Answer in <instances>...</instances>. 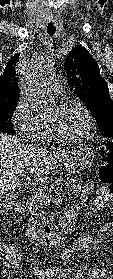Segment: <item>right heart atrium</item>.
<instances>
[{"instance_id": "obj_1", "label": "right heart atrium", "mask_w": 113, "mask_h": 279, "mask_svg": "<svg viewBox=\"0 0 113 279\" xmlns=\"http://www.w3.org/2000/svg\"><path fill=\"white\" fill-rule=\"evenodd\" d=\"M11 123L15 131L28 141L40 140L45 131L43 122L31 111L23 97L17 101Z\"/></svg>"}]
</instances>
